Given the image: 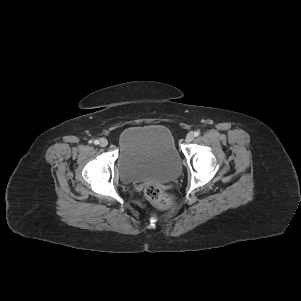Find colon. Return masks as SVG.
Instances as JSON below:
<instances>
[{
	"mask_svg": "<svg viewBox=\"0 0 301 301\" xmlns=\"http://www.w3.org/2000/svg\"><path fill=\"white\" fill-rule=\"evenodd\" d=\"M147 200L160 209L170 207L175 202V195L164 192L161 188L154 184H149L144 189Z\"/></svg>",
	"mask_w": 301,
	"mask_h": 301,
	"instance_id": "colon-1",
	"label": "colon"
}]
</instances>
